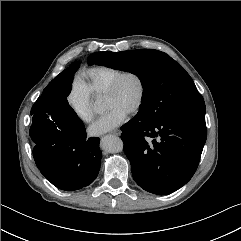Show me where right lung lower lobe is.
I'll use <instances>...</instances> for the list:
<instances>
[{
	"mask_svg": "<svg viewBox=\"0 0 241 241\" xmlns=\"http://www.w3.org/2000/svg\"><path fill=\"white\" fill-rule=\"evenodd\" d=\"M53 132L34 141L33 156L42 175L65 191L90 185L100 169V139L87 138L85 128H56Z\"/></svg>",
	"mask_w": 241,
	"mask_h": 241,
	"instance_id": "98d812e1",
	"label": "right lung lower lobe"
}]
</instances>
